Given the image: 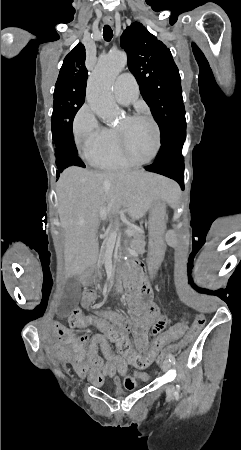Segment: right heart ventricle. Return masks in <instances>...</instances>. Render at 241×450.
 <instances>
[{
  "label": "right heart ventricle",
  "instance_id": "obj_1",
  "mask_svg": "<svg viewBox=\"0 0 241 450\" xmlns=\"http://www.w3.org/2000/svg\"><path fill=\"white\" fill-rule=\"evenodd\" d=\"M97 127L102 131V147L97 155H85V160L92 166L97 168H116L126 167L129 163L126 162V158L122 157V151L119 149V144L116 142V137L113 136L112 130L101 127L97 124ZM104 133H109L106 136ZM129 153V151H127Z\"/></svg>",
  "mask_w": 241,
  "mask_h": 450
}]
</instances>
